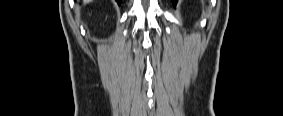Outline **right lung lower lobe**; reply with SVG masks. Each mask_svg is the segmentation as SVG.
I'll return each instance as SVG.
<instances>
[{
	"instance_id": "98d812e1",
	"label": "right lung lower lobe",
	"mask_w": 283,
	"mask_h": 116,
	"mask_svg": "<svg viewBox=\"0 0 283 116\" xmlns=\"http://www.w3.org/2000/svg\"><path fill=\"white\" fill-rule=\"evenodd\" d=\"M118 4H120L121 0H116Z\"/></svg>"
}]
</instances>
